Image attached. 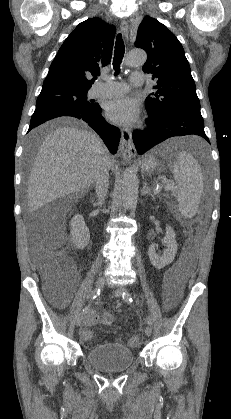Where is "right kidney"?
Masks as SVG:
<instances>
[{
    "mask_svg": "<svg viewBox=\"0 0 231 419\" xmlns=\"http://www.w3.org/2000/svg\"><path fill=\"white\" fill-rule=\"evenodd\" d=\"M70 235L77 249H84L90 240V232L82 215L76 214L70 221Z\"/></svg>",
    "mask_w": 231,
    "mask_h": 419,
    "instance_id": "obj_1",
    "label": "right kidney"
}]
</instances>
